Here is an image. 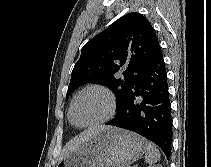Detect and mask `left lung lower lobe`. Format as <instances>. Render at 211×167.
Instances as JSON below:
<instances>
[{"instance_id": "1", "label": "left lung lower lobe", "mask_w": 211, "mask_h": 167, "mask_svg": "<svg viewBox=\"0 0 211 167\" xmlns=\"http://www.w3.org/2000/svg\"><path fill=\"white\" fill-rule=\"evenodd\" d=\"M136 132L158 145L170 157L171 104L161 48L126 94L117 116L107 123Z\"/></svg>"}]
</instances>
